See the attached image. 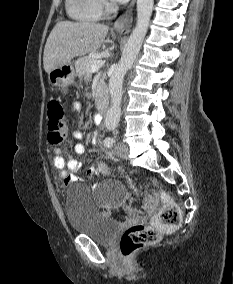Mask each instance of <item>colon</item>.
I'll return each instance as SVG.
<instances>
[{
    "mask_svg": "<svg viewBox=\"0 0 233 284\" xmlns=\"http://www.w3.org/2000/svg\"><path fill=\"white\" fill-rule=\"evenodd\" d=\"M66 136V126L64 122V109L58 100H51L48 103L47 110V137L52 145L60 144ZM95 166L106 173L105 165L95 162ZM160 197L163 201L161 210L155 217L154 225L143 224L133 225L128 228L120 240V250L125 258H130L137 251L146 245L153 244L160 239L162 231L176 228L181 219V213L178 205L164 191H160ZM154 197L145 195V208L151 210L154 207Z\"/></svg>",
    "mask_w": 233,
    "mask_h": 284,
    "instance_id": "colon-1",
    "label": "colon"
}]
</instances>
